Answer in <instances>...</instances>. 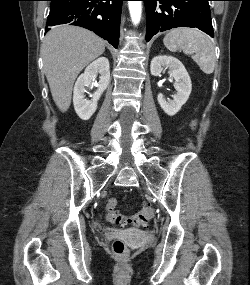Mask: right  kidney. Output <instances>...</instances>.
Returning a JSON list of instances; mask_svg holds the SVG:
<instances>
[{"label":"right kidney","instance_id":"right-kidney-1","mask_svg":"<svg viewBox=\"0 0 250 285\" xmlns=\"http://www.w3.org/2000/svg\"><path fill=\"white\" fill-rule=\"evenodd\" d=\"M100 74L98 89L91 100H86L84 92ZM110 82V66L106 57H100L90 63L81 74L74 86L73 103L77 115L82 120H89L97 109L98 100Z\"/></svg>","mask_w":250,"mask_h":285}]
</instances>
